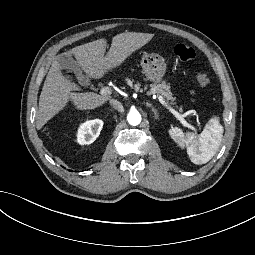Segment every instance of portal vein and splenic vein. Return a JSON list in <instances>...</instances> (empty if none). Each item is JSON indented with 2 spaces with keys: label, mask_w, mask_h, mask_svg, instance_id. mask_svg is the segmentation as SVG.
<instances>
[{
  "label": "portal vein and splenic vein",
  "mask_w": 255,
  "mask_h": 255,
  "mask_svg": "<svg viewBox=\"0 0 255 255\" xmlns=\"http://www.w3.org/2000/svg\"><path fill=\"white\" fill-rule=\"evenodd\" d=\"M100 94L101 95H110L111 94V89L109 87H103L101 90H100ZM159 99V102L164 105V106H167L166 105V102L164 101V98L162 96H159L158 97ZM169 111L182 123V125L184 127H188L190 128L191 125L183 118L182 115H180L176 110H174L173 108L171 107H168Z\"/></svg>",
  "instance_id": "1"
}]
</instances>
